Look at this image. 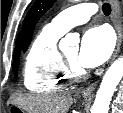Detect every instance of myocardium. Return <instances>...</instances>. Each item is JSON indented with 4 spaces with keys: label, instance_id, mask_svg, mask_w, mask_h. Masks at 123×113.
Here are the masks:
<instances>
[{
    "label": "myocardium",
    "instance_id": "myocardium-1",
    "mask_svg": "<svg viewBox=\"0 0 123 113\" xmlns=\"http://www.w3.org/2000/svg\"><path fill=\"white\" fill-rule=\"evenodd\" d=\"M62 60L69 79H80L85 75V71L76 62L71 61L65 53H62Z\"/></svg>",
    "mask_w": 123,
    "mask_h": 113
}]
</instances>
